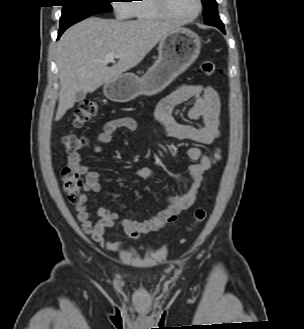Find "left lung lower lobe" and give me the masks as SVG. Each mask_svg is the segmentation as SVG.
<instances>
[{"mask_svg": "<svg viewBox=\"0 0 304 329\" xmlns=\"http://www.w3.org/2000/svg\"><path fill=\"white\" fill-rule=\"evenodd\" d=\"M205 24L215 26L225 33L224 25L218 16L217 10L209 14V16L205 19Z\"/></svg>", "mask_w": 304, "mask_h": 329, "instance_id": "0a47b994", "label": "left lung lower lobe"}]
</instances>
